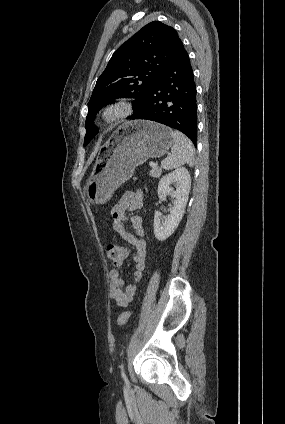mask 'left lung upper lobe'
Instances as JSON below:
<instances>
[{"instance_id": "left-lung-upper-lobe-1", "label": "left lung upper lobe", "mask_w": 285, "mask_h": 424, "mask_svg": "<svg viewBox=\"0 0 285 424\" xmlns=\"http://www.w3.org/2000/svg\"><path fill=\"white\" fill-rule=\"evenodd\" d=\"M179 41L174 28L153 21L114 52L98 78L88 104L84 146L98 132L93 122L103 106L116 98L134 97L133 107H136L145 99L165 70Z\"/></svg>"}]
</instances>
